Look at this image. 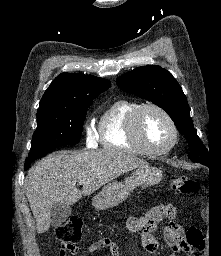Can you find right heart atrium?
Returning a JSON list of instances; mask_svg holds the SVG:
<instances>
[{
	"label": "right heart atrium",
	"mask_w": 221,
	"mask_h": 256,
	"mask_svg": "<svg viewBox=\"0 0 221 256\" xmlns=\"http://www.w3.org/2000/svg\"><path fill=\"white\" fill-rule=\"evenodd\" d=\"M85 136L88 145L93 146L96 142L95 132L90 124L85 125Z\"/></svg>",
	"instance_id": "obj_1"
}]
</instances>
